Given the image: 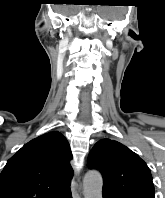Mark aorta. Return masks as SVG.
<instances>
[{
  "instance_id": "1",
  "label": "aorta",
  "mask_w": 165,
  "mask_h": 198,
  "mask_svg": "<svg viewBox=\"0 0 165 198\" xmlns=\"http://www.w3.org/2000/svg\"><path fill=\"white\" fill-rule=\"evenodd\" d=\"M103 179L96 170H90L83 179L84 198H102Z\"/></svg>"
}]
</instances>
